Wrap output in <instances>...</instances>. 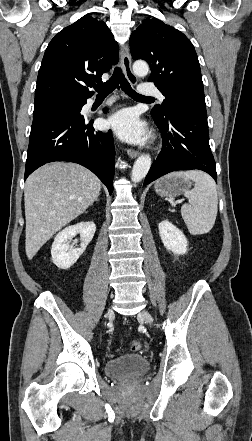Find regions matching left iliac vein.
Instances as JSON below:
<instances>
[{"mask_svg": "<svg viewBox=\"0 0 252 441\" xmlns=\"http://www.w3.org/2000/svg\"><path fill=\"white\" fill-rule=\"evenodd\" d=\"M138 317L143 319L145 321V323H147V324H151L152 323V317H151L150 313L147 310H142L138 314Z\"/></svg>", "mask_w": 252, "mask_h": 441, "instance_id": "obj_1", "label": "left iliac vein"}]
</instances>
